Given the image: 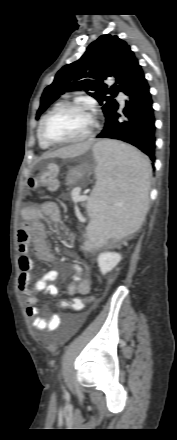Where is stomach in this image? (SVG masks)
Returning a JSON list of instances; mask_svg holds the SVG:
<instances>
[{
	"label": "stomach",
	"instance_id": "obj_1",
	"mask_svg": "<svg viewBox=\"0 0 177 440\" xmlns=\"http://www.w3.org/2000/svg\"><path fill=\"white\" fill-rule=\"evenodd\" d=\"M95 146H94V148H95ZM94 148H93V150H94ZM90 171H91V167H89L88 164L79 165V166L72 168L66 177L67 184L74 183L76 180L84 177Z\"/></svg>",
	"mask_w": 177,
	"mask_h": 440
}]
</instances>
